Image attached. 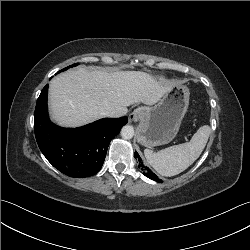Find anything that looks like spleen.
I'll list each match as a JSON object with an SVG mask.
<instances>
[{
  "label": "spleen",
  "instance_id": "1",
  "mask_svg": "<svg viewBox=\"0 0 250 250\" xmlns=\"http://www.w3.org/2000/svg\"><path fill=\"white\" fill-rule=\"evenodd\" d=\"M210 133L211 128L204 125L197 130L189 142L174 145L159 152L145 149V157L160 175L175 176L186 170L199 158Z\"/></svg>",
  "mask_w": 250,
  "mask_h": 250
}]
</instances>
